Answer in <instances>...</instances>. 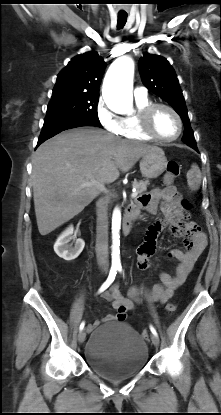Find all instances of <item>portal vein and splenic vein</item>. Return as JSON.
<instances>
[{
    "mask_svg": "<svg viewBox=\"0 0 221 415\" xmlns=\"http://www.w3.org/2000/svg\"><path fill=\"white\" fill-rule=\"evenodd\" d=\"M83 186H96L100 190L106 191V189L102 185H99L96 181H92L91 183H86ZM136 196H137V192H136V190H133V192L131 194V197L135 198Z\"/></svg>",
    "mask_w": 221,
    "mask_h": 415,
    "instance_id": "portal-vein-and-splenic-vein-1",
    "label": "portal vein and splenic vein"
}]
</instances>
